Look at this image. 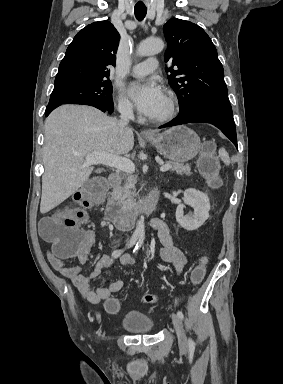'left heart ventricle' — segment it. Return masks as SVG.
Segmentation results:
<instances>
[{
	"label": "left heart ventricle",
	"mask_w": 283,
	"mask_h": 384,
	"mask_svg": "<svg viewBox=\"0 0 283 384\" xmlns=\"http://www.w3.org/2000/svg\"><path fill=\"white\" fill-rule=\"evenodd\" d=\"M165 109H166V101L164 100L161 106L157 109V111L149 117L150 118L158 117L164 113Z\"/></svg>",
	"instance_id": "b2bd125f"
}]
</instances>
